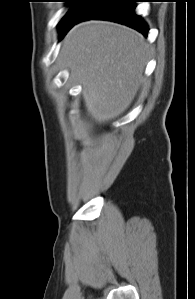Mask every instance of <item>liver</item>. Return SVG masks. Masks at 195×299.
<instances>
[{
    "mask_svg": "<svg viewBox=\"0 0 195 299\" xmlns=\"http://www.w3.org/2000/svg\"><path fill=\"white\" fill-rule=\"evenodd\" d=\"M148 52L144 37L135 30L92 20L69 31L59 60L82 86L88 115L102 124L120 116L134 100Z\"/></svg>",
    "mask_w": 195,
    "mask_h": 299,
    "instance_id": "obj_1",
    "label": "liver"
}]
</instances>
